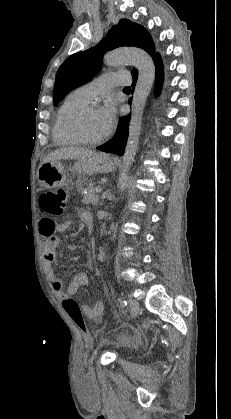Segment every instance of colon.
Segmentation results:
<instances>
[{
	"mask_svg": "<svg viewBox=\"0 0 231 419\" xmlns=\"http://www.w3.org/2000/svg\"><path fill=\"white\" fill-rule=\"evenodd\" d=\"M67 204V191L64 188L52 189L40 197L39 205L43 212L60 216L64 213ZM63 307L75 324L80 328L85 340L91 341V334L86 328L80 307L73 298L63 300Z\"/></svg>",
	"mask_w": 231,
	"mask_h": 419,
	"instance_id": "5ec220e1",
	"label": "colon"
}]
</instances>
